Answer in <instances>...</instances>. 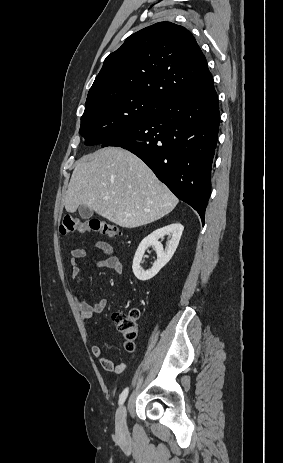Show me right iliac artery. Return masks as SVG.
<instances>
[{
  "label": "right iliac artery",
  "mask_w": 283,
  "mask_h": 463,
  "mask_svg": "<svg viewBox=\"0 0 283 463\" xmlns=\"http://www.w3.org/2000/svg\"><path fill=\"white\" fill-rule=\"evenodd\" d=\"M128 395V388H125L123 392L119 396V405H122L127 398Z\"/></svg>",
  "instance_id": "1"
}]
</instances>
